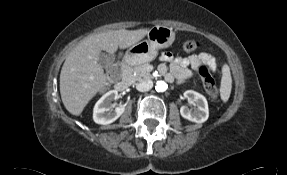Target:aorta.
Returning <instances> with one entry per match:
<instances>
[{"mask_svg":"<svg viewBox=\"0 0 287 175\" xmlns=\"http://www.w3.org/2000/svg\"><path fill=\"white\" fill-rule=\"evenodd\" d=\"M167 88H168V85H167V83L164 82V81H158V82L156 83L155 89H156L157 92H164V91L167 90Z\"/></svg>","mask_w":287,"mask_h":175,"instance_id":"obj_1","label":"aorta"}]
</instances>
